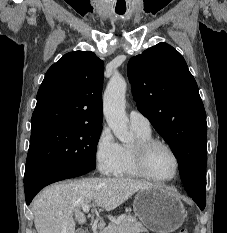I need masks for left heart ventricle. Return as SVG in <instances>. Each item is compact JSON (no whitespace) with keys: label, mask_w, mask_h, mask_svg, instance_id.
I'll list each match as a JSON object with an SVG mask.
<instances>
[{"label":"left heart ventricle","mask_w":227,"mask_h":233,"mask_svg":"<svg viewBox=\"0 0 227 233\" xmlns=\"http://www.w3.org/2000/svg\"><path fill=\"white\" fill-rule=\"evenodd\" d=\"M150 172L158 178H170L175 172V161L165 148L154 149L148 158Z\"/></svg>","instance_id":"left-heart-ventricle-1"}]
</instances>
